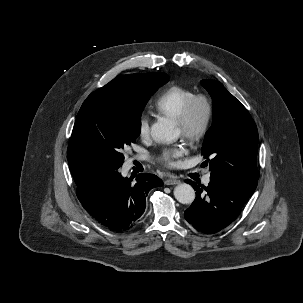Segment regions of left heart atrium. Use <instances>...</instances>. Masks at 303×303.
<instances>
[{"label":"left heart atrium","mask_w":303,"mask_h":303,"mask_svg":"<svg viewBox=\"0 0 303 303\" xmlns=\"http://www.w3.org/2000/svg\"><path fill=\"white\" fill-rule=\"evenodd\" d=\"M185 153V149L181 146H174L163 149L160 155V162L168 167L177 165V160Z\"/></svg>","instance_id":"39dd6f15"}]
</instances>
